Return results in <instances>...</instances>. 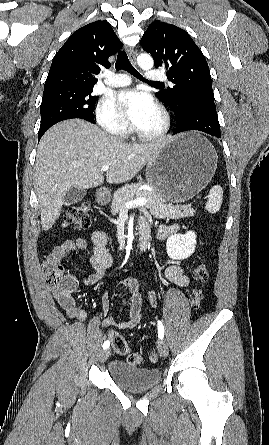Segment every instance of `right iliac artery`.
<instances>
[{"mask_svg":"<svg viewBox=\"0 0 269 445\" xmlns=\"http://www.w3.org/2000/svg\"><path fill=\"white\" fill-rule=\"evenodd\" d=\"M109 345H110L109 341H105L103 343V349H107L109 347Z\"/></svg>","mask_w":269,"mask_h":445,"instance_id":"82829eb1","label":"right iliac artery"}]
</instances>
